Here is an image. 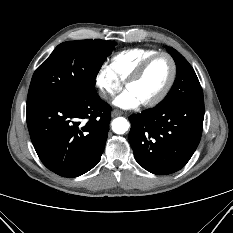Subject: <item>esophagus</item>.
Returning a JSON list of instances; mask_svg holds the SVG:
<instances>
[{
  "mask_svg": "<svg viewBox=\"0 0 233 233\" xmlns=\"http://www.w3.org/2000/svg\"><path fill=\"white\" fill-rule=\"evenodd\" d=\"M111 114H112V117H116V116L122 115L123 112L121 110L114 109Z\"/></svg>",
  "mask_w": 233,
  "mask_h": 233,
  "instance_id": "1",
  "label": "esophagus"
}]
</instances>
